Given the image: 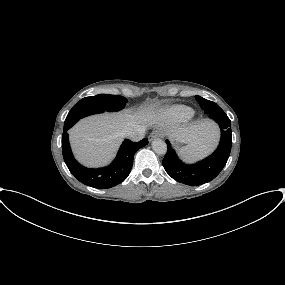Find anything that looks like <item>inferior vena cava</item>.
<instances>
[{
    "label": "inferior vena cava",
    "mask_w": 285,
    "mask_h": 285,
    "mask_svg": "<svg viewBox=\"0 0 285 285\" xmlns=\"http://www.w3.org/2000/svg\"><path fill=\"white\" fill-rule=\"evenodd\" d=\"M125 136L132 141H140L145 136V128L140 125L129 127L125 130Z\"/></svg>",
    "instance_id": "602c4592"
}]
</instances>
